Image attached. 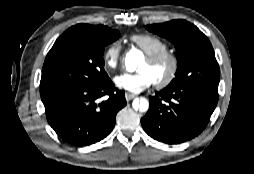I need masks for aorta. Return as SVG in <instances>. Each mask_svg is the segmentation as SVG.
<instances>
[{"label": "aorta", "instance_id": "1", "mask_svg": "<svg viewBox=\"0 0 254 174\" xmlns=\"http://www.w3.org/2000/svg\"><path fill=\"white\" fill-rule=\"evenodd\" d=\"M142 55L141 52L139 50L136 49H131L125 57V66L127 71L129 72H134L136 70L137 67V63L141 60ZM133 108L138 110L140 112H146L149 108V102L146 98L142 97V98H136L133 101Z\"/></svg>", "mask_w": 254, "mask_h": 174}]
</instances>
